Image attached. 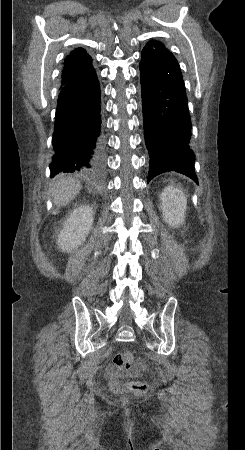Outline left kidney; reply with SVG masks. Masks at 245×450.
I'll return each instance as SVG.
<instances>
[{
  "instance_id": "left-kidney-1",
  "label": "left kidney",
  "mask_w": 245,
  "mask_h": 450,
  "mask_svg": "<svg viewBox=\"0 0 245 450\" xmlns=\"http://www.w3.org/2000/svg\"><path fill=\"white\" fill-rule=\"evenodd\" d=\"M163 220L171 227H178L185 222L187 199L178 188L167 186L160 195Z\"/></svg>"
}]
</instances>
